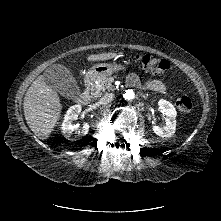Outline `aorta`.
Returning <instances> with one entry per match:
<instances>
[{
    "instance_id": "obj_1",
    "label": "aorta",
    "mask_w": 221,
    "mask_h": 221,
    "mask_svg": "<svg viewBox=\"0 0 221 221\" xmlns=\"http://www.w3.org/2000/svg\"><path fill=\"white\" fill-rule=\"evenodd\" d=\"M134 96H135L134 92L132 90H128V91H126L124 97L127 100H132L134 98Z\"/></svg>"
}]
</instances>
